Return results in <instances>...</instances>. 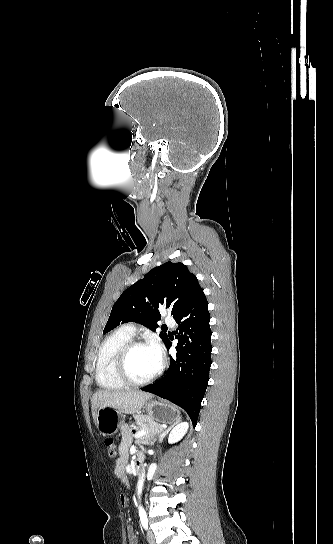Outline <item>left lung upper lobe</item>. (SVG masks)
Wrapping results in <instances>:
<instances>
[{
    "mask_svg": "<svg viewBox=\"0 0 333 544\" xmlns=\"http://www.w3.org/2000/svg\"><path fill=\"white\" fill-rule=\"evenodd\" d=\"M202 293L196 276L183 263L166 262L122 293L112 307L103 333L129 321L155 331L161 319L160 307L169 309L174 318ZM159 336L167 342L166 333L161 332Z\"/></svg>",
    "mask_w": 333,
    "mask_h": 544,
    "instance_id": "obj_1",
    "label": "left lung upper lobe"
}]
</instances>
